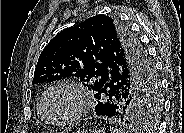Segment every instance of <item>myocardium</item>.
<instances>
[{
  "mask_svg": "<svg viewBox=\"0 0 184 133\" xmlns=\"http://www.w3.org/2000/svg\"><path fill=\"white\" fill-rule=\"evenodd\" d=\"M57 89H67L71 91L77 99L76 110L70 116L63 119H53L48 115L46 111V100L48 96ZM88 107L89 103L85 89L80 84L70 81L58 82L50 86L43 93L39 102V111L41 112L43 119L48 123L56 126L69 125L80 120L87 112Z\"/></svg>",
  "mask_w": 184,
  "mask_h": 133,
  "instance_id": "obj_1",
  "label": "myocardium"
}]
</instances>
